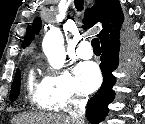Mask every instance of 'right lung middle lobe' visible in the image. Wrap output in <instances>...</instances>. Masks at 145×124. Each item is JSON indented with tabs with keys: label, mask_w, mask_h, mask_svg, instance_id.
<instances>
[{
	"label": "right lung middle lobe",
	"mask_w": 145,
	"mask_h": 124,
	"mask_svg": "<svg viewBox=\"0 0 145 124\" xmlns=\"http://www.w3.org/2000/svg\"><path fill=\"white\" fill-rule=\"evenodd\" d=\"M20 81H21V75L20 71H16V75L14 77V81L12 83L11 93H10V100L14 101L20 92Z\"/></svg>",
	"instance_id": "right-lung-middle-lobe-1"
}]
</instances>
